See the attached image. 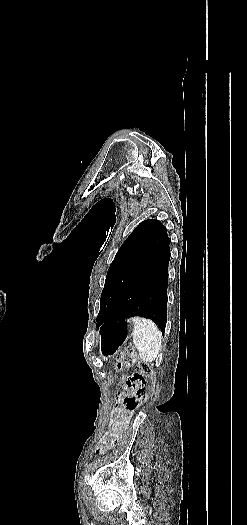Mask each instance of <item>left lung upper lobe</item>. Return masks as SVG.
Segmentation results:
<instances>
[{
    "label": "left lung upper lobe",
    "instance_id": "5c2ea615",
    "mask_svg": "<svg viewBox=\"0 0 247 525\" xmlns=\"http://www.w3.org/2000/svg\"><path fill=\"white\" fill-rule=\"evenodd\" d=\"M166 233L160 221L148 219L141 222L121 245L106 276L100 312L96 319L98 325L102 324L107 312L146 269Z\"/></svg>",
    "mask_w": 247,
    "mask_h": 525
}]
</instances>
